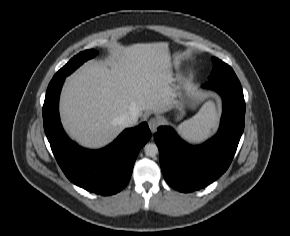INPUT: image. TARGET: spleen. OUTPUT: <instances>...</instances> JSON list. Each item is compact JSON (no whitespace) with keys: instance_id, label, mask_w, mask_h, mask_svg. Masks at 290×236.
Masks as SVG:
<instances>
[{"instance_id":"spleen-1","label":"spleen","mask_w":290,"mask_h":236,"mask_svg":"<svg viewBox=\"0 0 290 236\" xmlns=\"http://www.w3.org/2000/svg\"><path fill=\"white\" fill-rule=\"evenodd\" d=\"M218 121V114L215 104L211 101L206 102L200 111L184 121L178 126V130L188 139L201 141L210 135Z\"/></svg>"}]
</instances>
